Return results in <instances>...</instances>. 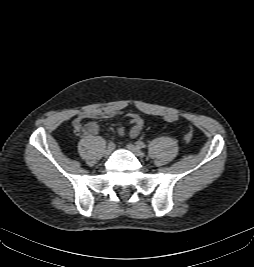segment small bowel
<instances>
[{
    "label": "small bowel",
    "instance_id": "obj_1",
    "mask_svg": "<svg viewBox=\"0 0 254 267\" xmlns=\"http://www.w3.org/2000/svg\"><path fill=\"white\" fill-rule=\"evenodd\" d=\"M118 115H120V112L112 109H95L89 111H82L78 113L75 119L73 120V128L76 134L93 136L98 133L99 126L96 122H90L86 125H83V121L85 119H106V118H113ZM128 117L131 122L129 136L131 138H135L140 134L143 128V120L139 115L134 113L129 114ZM125 132L126 129L124 126H119L117 128V133L119 135H124Z\"/></svg>",
    "mask_w": 254,
    "mask_h": 267
}]
</instances>
